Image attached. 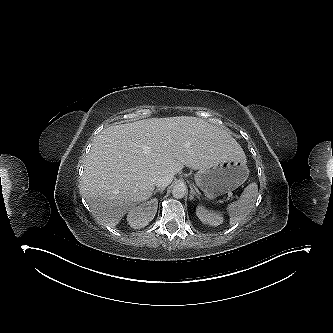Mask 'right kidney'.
<instances>
[{"mask_svg": "<svg viewBox=\"0 0 333 333\" xmlns=\"http://www.w3.org/2000/svg\"><path fill=\"white\" fill-rule=\"evenodd\" d=\"M158 208V200L156 198L140 204L129 210L127 221L134 229H141L153 220Z\"/></svg>", "mask_w": 333, "mask_h": 333, "instance_id": "1", "label": "right kidney"}]
</instances>
